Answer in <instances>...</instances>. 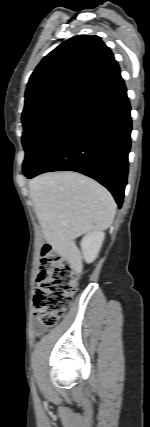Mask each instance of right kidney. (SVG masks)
Instances as JSON below:
<instances>
[{
    "mask_svg": "<svg viewBox=\"0 0 150 427\" xmlns=\"http://www.w3.org/2000/svg\"><path fill=\"white\" fill-rule=\"evenodd\" d=\"M105 234L102 231L88 233L82 238L81 248L83 258L87 263L93 262L101 249Z\"/></svg>",
    "mask_w": 150,
    "mask_h": 427,
    "instance_id": "ca27d5eb",
    "label": "right kidney"
}]
</instances>
